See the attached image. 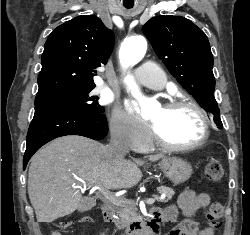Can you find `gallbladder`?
Wrapping results in <instances>:
<instances>
[{
	"mask_svg": "<svg viewBox=\"0 0 250 235\" xmlns=\"http://www.w3.org/2000/svg\"><path fill=\"white\" fill-rule=\"evenodd\" d=\"M91 208H92V206H91V204H90V202H89L88 199H83V200L79 203V205H78V210L81 211V212L87 211V210H89V209H91Z\"/></svg>",
	"mask_w": 250,
	"mask_h": 235,
	"instance_id": "bac80fb5",
	"label": "gallbladder"
}]
</instances>
